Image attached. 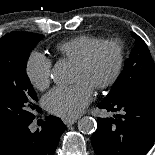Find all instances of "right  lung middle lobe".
Masks as SVG:
<instances>
[{
	"label": "right lung middle lobe",
	"instance_id": "dd1d6c3e",
	"mask_svg": "<svg viewBox=\"0 0 155 155\" xmlns=\"http://www.w3.org/2000/svg\"><path fill=\"white\" fill-rule=\"evenodd\" d=\"M41 34L12 32L0 39V128L20 127L33 121L40 108L26 64L31 50L43 39Z\"/></svg>",
	"mask_w": 155,
	"mask_h": 155
}]
</instances>
